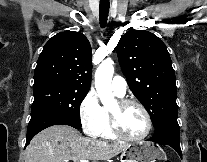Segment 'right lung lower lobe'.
<instances>
[{"label": "right lung lower lobe", "instance_id": "98d812e1", "mask_svg": "<svg viewBox=\"0 0 207 162\" xmlns=\"http://www.w3.org/2000/svg\"><path fill=\"white\" fill-rule=\"evenodd\" d=\"M53 125H69L76 129L81 127V125L75 123L73 120L56 114H39L33 116L28 124L26 146L37 133Z\"/></svg>", "mask_w": 207, "mask_h": 162}]
</instances>
